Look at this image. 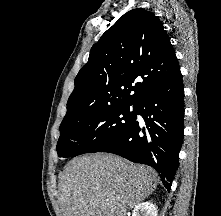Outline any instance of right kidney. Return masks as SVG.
<instances>
[{
  "label": "right kidney",
  "mask_w": 221,
  "mask_h": 216,
  "mask_svg": "<svg viewBox=\"0 0 221 216\" xmlns=\"http://www.w3.org/2000/svg\"><path fill=\"white\" fill-rule=\"evenodd\" d=\"M132 216H157V208L151 202H145L137 205Z\"/></svg>",
  "instance_id": "right-kidney-1"
}]
</instances>
